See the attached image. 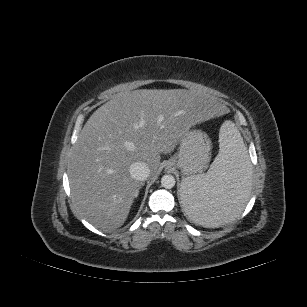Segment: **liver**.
<instances>
[{
  "label": "liver",
  "instance_id": "6515ba94",
  "mask_svg": "<svg viewBox=\"0 0 307 307\" xmlns=\"http://www.w3.org/2000/svg\"><path fill=\"white\" fill-rule=\"evenodd\" d=\"M224 115L221 102L185 89L117 94L90 116L73 147L68 177L76 209L96 228L121 227L143 185L130 165L146 163L156 176L160 155L192 126Z\"/></svg>",
  "mask_w": 307,
  "mask_h": 307
}]
</instances>
